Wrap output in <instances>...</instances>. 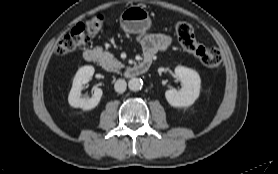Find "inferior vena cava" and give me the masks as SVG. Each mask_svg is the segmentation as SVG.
<instances>
[{"label":"inferior vena cava","mask_w":278,"mask_h":174,"mask_svg":"<svg viewBox=\"0 0 278 174\" xmlns=\"http://www.w3.org/2000/svg\"><path fill=\"white\" fill-rule=\"evenodd\" d=\"M127 83L124 79H118L114 84V89L118 93H123L126 90Z\"/></svg>","instance_id":"602c4592"}]
</instances>
